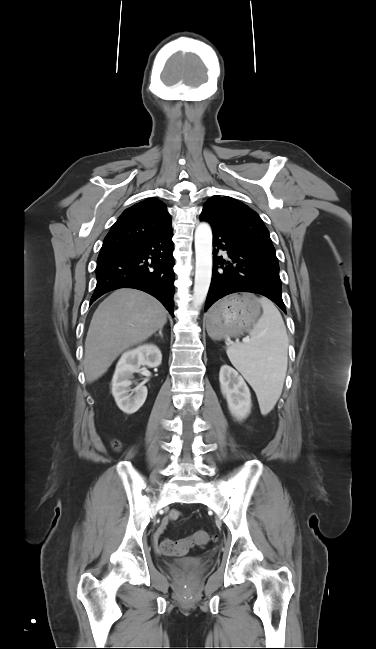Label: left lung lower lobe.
Returning a JSON list of instances; mask_svg holds the SVG:
<instances>
[{
    "label": "left lung lower lobe",
    "instance_id": "obj_1",
    "mask_svg": "<svg viewBox=\"0 0 376 649\" xmlns=\"http://www.w3.org/2000/svg\"><path fill=\"white\" fill-rule=\"evenodd\" d=\"M200 219L207 221L203 217ZM210 225L213 231V247L216 249L213 251L214 268L205 311L226 295L251 292L269 298L286 313L281 296L276 254L223 228L211 223ZM218 250H226L228 260L216 256Z\"/></svg>",
    "mask_w": 376,
    "mask_h": 649
}]
</instances>
